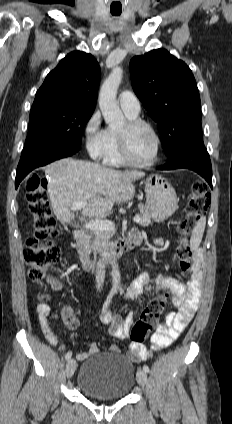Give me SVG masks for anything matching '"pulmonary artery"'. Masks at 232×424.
I'll list each match as a JSON object with an SVG mask.
<instances>
[{
	"instance_id": "pulmonary-artery-1",
	"label": "pulmonary artery",
	"mask_w": 232,
	"mask_h": 424,
	"mask_svg": "<svg viewBox=\"0 0 232 424\" xmlns=\"http://www.w3.org/2000/svg\"><path fill=\"white\" fill-rule=\"evenodd\" d=\"M121 109L128 115L138 116L141 110L140 102L137 96L130 92L124 91L118 98Z\"/></svg>"
}]
</instances>
